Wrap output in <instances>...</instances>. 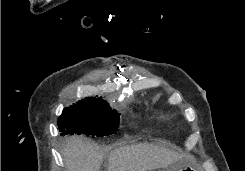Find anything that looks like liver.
<instances>
[{"label": "liver", "instance_id": "obj_1", "mask_svg": "<svg viewBox=\"0 0 245 171\" xmlns=\"http://www.w3.org/2000/svg\"><path fill=\"white\" fill-rule=\"evenodd\" d=\"M62 156L67 171H100L104 154L83 137L66 139ZM182 154L153 144H135L115 149L108 157V171H149L166 168Z\"/></svg>", "mask_w": 245, "mask_h": 171}]
</instances>
